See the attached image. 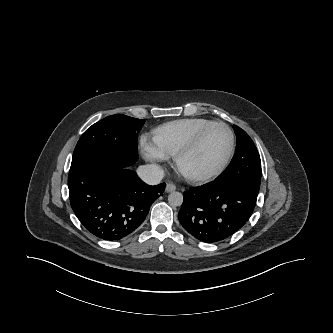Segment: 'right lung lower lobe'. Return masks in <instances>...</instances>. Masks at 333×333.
Segmentation results:
<instances>
[{"label":"right lung lower lobe","mask_w":333,"mask_h":333,"mask_svg":"<svg viewBox=\"0 0 333 333\" xmlns=\"http://www.w3.org/2000/svg\"><path fill=\"white\" fill-rule=\"evenodd\" d=\"M165 186L146 185L127 167L88 166L68 178L70 204L77 218L91 234L107 241L134 232Z\"/></svg>","instance_id":"1"}]
</instances>
